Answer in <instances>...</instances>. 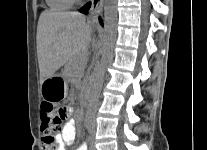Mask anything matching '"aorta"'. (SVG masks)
Masks as SVG:
<instances>
[{"label":"aorta","instance_id":"obj_1","mask_svg":"<svg viewBox=\"0 0 207 150\" xmlns=\"http://www.w3.org/2000/svg\"><path fill=\"white\" fill-rule=\"evenodd\" d=\"M117 34V0H104V34L102 38L101 59L94 71V80L89 96L90 111H94L103 86L106 66L113 54Z\"/></svg>","mask_w":207,"mask_h":150}]
</instances>
